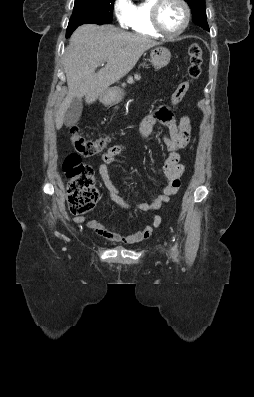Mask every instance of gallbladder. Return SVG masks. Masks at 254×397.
<instances>
[{
  "mask_svg": "<svg viewBox=\"0 0 254 397\" xmlns=\"http://www.w3.org/2000/svg\"><path fill=\"white\" fill-rule=\"evenodd\" d=\"M83 103L81 98H74L68 109L66 110L64 117V124L68 127L75 125L82 113Z\"/></svg>",
  "mask_w": 254,
  "mask_h": 397,
  "instance_id": "obj_1",
  "label": "gallbladder"
}]
</instances>
